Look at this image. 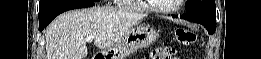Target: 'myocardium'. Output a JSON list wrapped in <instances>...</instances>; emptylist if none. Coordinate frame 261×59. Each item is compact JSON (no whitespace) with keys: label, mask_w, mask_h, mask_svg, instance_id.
<instances>
[{"label":"myocardium","mask_w":261,"mask_h":59,"mask_svg":"<svg viewBox=\"0 0 261 59\" xmlns=\"http://www.w3.org/2000/svg\"><path fill=\"white\" fill-rule=\"evenodd\" d=\"M184 0H178V3L172 7V8H161V7H158L156 6L153 1H145L146 4H147V7L156 12V13H160V14H169V13H173V12H176L177 10L180 9L182 3H183Z\"/></svg>","instance_id":"f54148a6"}]
</instances>
